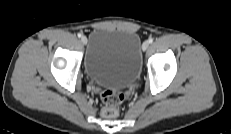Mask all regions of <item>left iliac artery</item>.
<instances>
[{
	"label": "left iliac artery",
	"mask_w": 231,
	"mask_h": 134,
	"mask_svg": "<svg viewBox=\"0 0 231 134\" xmlns=\"http://www.w3.org/2000/svg\"><path fill=\"white\" fill-rule=\"evenodd\" d=\"M148 42H149V43H152V42H153V39H152V38H150V39L148 40Z\"/></svg>",
	"instance_id": "obj_1"
}]
</instances>
